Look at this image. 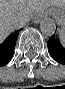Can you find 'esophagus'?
I'll return each instance as SVG.
<instances>
[{"label":"esophagus","mask_w":65,"mask_h":89,"mask_svg":"<svg viewBox=\"0 0 65 89\" xmlns=\"http://www.w3.org/2000/svg\"><path fill=\"white\" fill-rule=\"evenodd\" d=\"M43 17H44L43 13L40 12L33 18V22L39 23L42 20Z\"/></svg>","instance_id":"esophagus-1"}]
</instances>
